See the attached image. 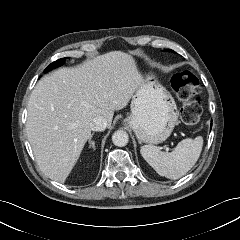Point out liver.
Masks as SVG:
<instances>
[{"mask_svg": "<svg viewBox=\"0 0 240 240\" xmlns=\"http://www.w3.org/2000/svg\"><path fill=\"white\" fill-rule=\"evenodd\" d=\"M142 78L133 57L112 51L39 80L28 102L26 132L36 162L64 183L91 136L90 122L127 106Z\"/></svg>", "mask_w": 240, "mask_h": 240, "instance_id": "6515ba94", "label": "liver"}]
</instances>
